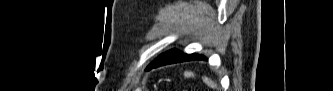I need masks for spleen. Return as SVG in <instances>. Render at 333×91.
I'll list each match as a JSON object with an SVG mask.
<instances>
[{
  "mask_svg": "<svg viewBox=\"0 0 333 91\" xmlns=\"http://www.w3.org/2000/svg\"><path fill=\"white\" fill-rule=\"evenodd\" d=\"M184 76L187 77V78L188 77H194V74L192 72H185ZM202 79H203V82L207 86H209L210 88H212V89H218L217 83L215 81H213L212 79H210V78H208L206 76H203Z\"/></svg>",
  "mask_w": 333,
  "mask_h": 91,
  "instance_id": "3e777b00",
  "label": "spleen"
}]
</instances>
